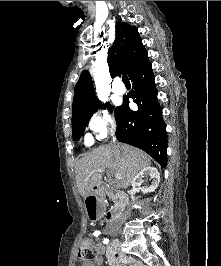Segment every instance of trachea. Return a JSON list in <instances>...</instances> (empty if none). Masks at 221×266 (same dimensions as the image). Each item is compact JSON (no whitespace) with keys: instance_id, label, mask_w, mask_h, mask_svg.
I'll use <instances>...</instances> for the list:
<instances>
[{"instance_id":"1","label":"trachea","mask_w":221,"mask_h":266,"mask_svg":"<svg viewBox=\"0 0 221 266\" xmlns=\"http://www.w3.org/2000/svg\"><path fill=\"white\" fill-rule=\"evenodd\" d=\"M122 81H123L124 84H130L129 78L126 75L122 76Z\"/></svg>"}]
</instances>
